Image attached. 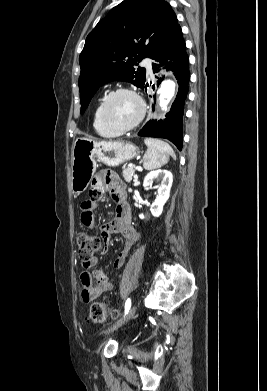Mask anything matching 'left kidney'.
<instances>
[{"instance_id": "left-kidney-1", "label": "left kidney", "mask_w": 267, "mask_h": 391, "mask_svg": "<svg viewBox=\"0 0 267 391\" xmlns=\"http://www.w3.org/2000/svg\"><path fill=\"white\" fill-rule=\"evenodd\" d=\"M153 181L159 182V185L157 186L158 195L152 203L150 211L154 217H159L163 212V206L169 199L173 176L168 170L152 171L145 176L143 186L148 187ZM139 217L143 219L144 215L140 214Z\"/></svg>"}]
</instances>
